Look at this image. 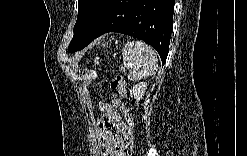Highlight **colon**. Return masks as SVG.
<instances>
[{"instance_id": "1", "label": "colon", "mask_w": 247, "mask_h": 156, "mask_svg": "<svg viewBox=\"0 0 247 156\" xmlns=\"http://www.w3.org/2000/svg\"><path fill=\"white\" fill-rule=\"evenodd\" d=\"M110 87L113 91H115V96L116 99L120 105V110L124 116V122L127 125V127L129 128V130L131 132H133V128H134V123H133V119L131 116L130 111L125 107L124 103H123V98L125 96L126 93V88L125 85L122 81L121 76L117 75V74H111L110 75Z\"/></svg>"}]
</instances>
